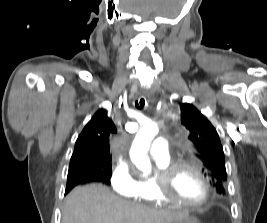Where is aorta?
<instances>
[{"label": "aorta", "instance_id": "1", "mask_svg": "<svg viewBox=\"0 0 267 223\" xmlns=\"http://www.w3.org/2000/svg\"><path fill=\"white\" fill-rule=\"evenodd\" d=\"M158 127L155 123L149 122L136 134L130 149V158L135 166L144 173H149L151 163L147 156L150 142L157 135Z\"/></svg>", "mask_w": 267, "mask_h": 223}]
</instances>
